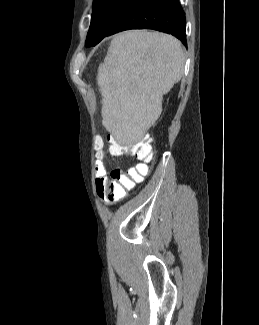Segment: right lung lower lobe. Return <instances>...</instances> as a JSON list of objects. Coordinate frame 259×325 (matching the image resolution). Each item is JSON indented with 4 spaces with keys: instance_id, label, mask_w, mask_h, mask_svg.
Wrapping results in <instances>:
<instances>
[{
    "instance_id": "obj_1",
    "label": "right lung lower lobe",
    "mask_w": 259,
    "mask_h": 325,
    "mask_svg": "<svg viewBox=\"0 0 259 325\" xmlns=\"http://www.w3.org/2000/svg\"><path fill=\"white\" fill-rule=\"evenodd\" d=\"M142 28L172 34L186 46L185 13L178 0H132L106 36Z\"/></svg>"
}]
</instances>
